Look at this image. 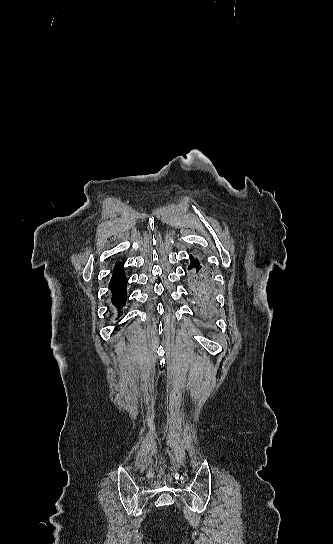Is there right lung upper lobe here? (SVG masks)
I'll list each match as a JSON object with an SVG mask.
<instances>
[{
	"instance_id": "cb5924a9",
	"label": "right lung upper lobe",
	"mask_w": 333,
	"mask_h": 544,
	"mask_svg": "<svg viewBox=\"0 0 333 544\" xmlns=\"http://www.w3.org/2000/svg\"><path fill=\"white\" fill-rule=\"evenodd\" d=\"M121 267H122V263H120V262L116 263L114 271L118 270Z\"/></svg>"
}]
</instances>
